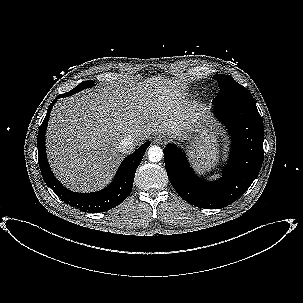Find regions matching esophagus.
I'll list each match as a JSON object with an SVG mask.
<instances>
[{
  "label": "esophagus",
  "instance_id": "34e87169",
  "mask_svg": "<svg viewBox=\"0 0 303 303\" xmlns=\"http://www.w3.org/2000/svg\"><path fill=\"white\" fill-rule=\"evenodd\" d=\"M156 141H157L158 143H161V142H162V137L156 138Z\"/></svg>",
  "mask_w": 303,
  "mask_h": 303
}]
</instances>
